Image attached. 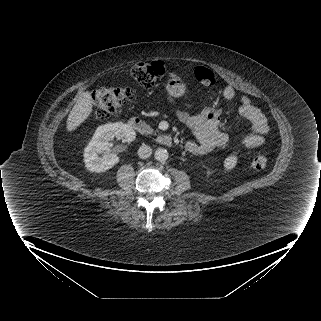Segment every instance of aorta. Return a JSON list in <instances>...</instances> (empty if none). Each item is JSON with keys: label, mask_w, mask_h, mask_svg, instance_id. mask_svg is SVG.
<instances>
[{"label": "aorta", "mask_w": 321, "mask_h": 321, "mask_svg": "<svg viewBox=\"0 0 321 321\" xmlns=\"http://www.w3.org/2000/svg\"><path fill=\"white\" fill-rule=\"evenodd\" d=\"M155 159L159 162H164L168 159V151L164 148H158L156 151H155Z\"/></svg>", "instance_id": "762f6f07"}]
</instances>
